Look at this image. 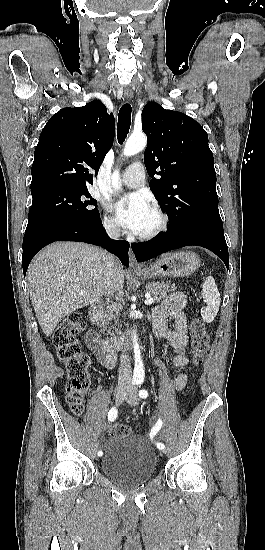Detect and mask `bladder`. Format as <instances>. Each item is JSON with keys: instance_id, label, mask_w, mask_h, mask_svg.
I'll return each mask as SVG.
<instances>
[{"instance_id": "obj_1", "label": "bladder", "mask_w": 265, "mask_h": 550, "mask_svg": "<svg viewBox=\"0 0 265 550\" xmlns=\"http://www.w3.org/2000/svg\"><path fill=\"white\" fill-rule=\"evenodd\" d=\"M101 456L102 472L110 480L124 486L148 482L157 469L155 451L141 435L111 438Z\"/></svg>"}]
</instances>
